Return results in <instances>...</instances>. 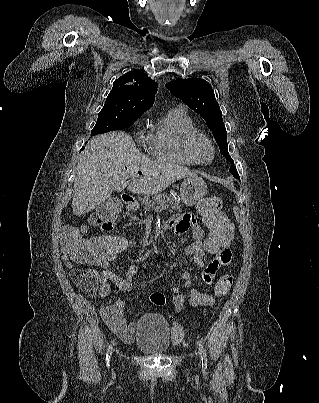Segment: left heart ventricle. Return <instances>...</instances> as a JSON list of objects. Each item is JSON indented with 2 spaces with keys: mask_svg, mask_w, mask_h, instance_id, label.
Here are the masks:
<instances>
[{
  "mask_svg": "<svg viewBox=\"0 0 319 403\" xmlns=\"http://www.w3.org/2000/svg\"><path fill=\"white\" fill-rule=\"evenodd\" d=\"M197 153H198L199 158L202 161H209L211 159V155H212L211 148L204 141L198 142V144H197Z\"/></svg>",
  "mask_w": 319,
  "mask_h": 403,
  "instance_id": "b2bd125f",
  "label": "left heart ventricle"
}]
</instances>
